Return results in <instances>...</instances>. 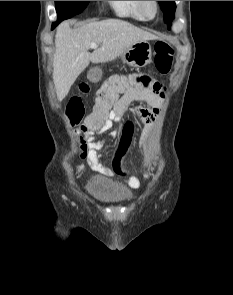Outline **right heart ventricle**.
I'll list each match as a JSON object with an SVG mask.
<instances>
[{"instance_id":"e07e8e85","label":"right heart ventricle","mask_w":233,"mask_h":295,"mask_svg":"<svg viewBox=\"0 0 233 295\" xmlns=\"http://www.w3.org/2000/svg\"><path fill=\"white\" fill-rule=\"evenodd\" d=\"M110 7L120 17L131 18L137 21H144L140 13L137 1H108Z\"/></svg>"}]
</instances>
